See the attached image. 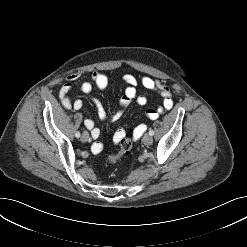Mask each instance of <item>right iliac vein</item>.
I'll use <instances>...</instances> for the list:
<instances>
[{
  "instance_id": "right-iliac-vein-1",
  "label": "right iliac vein",
  "mask_w": 247,
  "mask_h": 247,
  "mask_svg": "<svg viewBox=\"0 0 247 247\" xmlns=\"http://www.w3.org/2000/svg\"><path fill=\"white\" fill-rule=\"evenodd\" d=\"M88 139H89V134H88V132L84 131V132L82 133V136H81V141H82V142H87Z\"/></svg>"
}]
</instances>
